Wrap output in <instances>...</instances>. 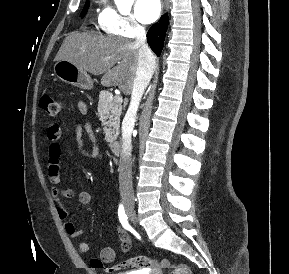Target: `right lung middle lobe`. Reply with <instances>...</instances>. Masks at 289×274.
Instances as JSON below:
<instances>
[{"label": "right lung middle lobe", "mask_w": 289, "mask_h": 274, "mask_svg": "<svg viewBox=\"0 0 289 274\" xmlns=\"http://www.w3.org/2000/svg\"><path fill=\"white\" fill-rule=\"evenodd\" d=\"M88 7H89V2H86L85 3V7H84V9H83V11H82V13L80 15L81 18H83L86 15Z\"/></svg>", "instance_id": "right-lung-middle-lobe-1"}]
</instances>
